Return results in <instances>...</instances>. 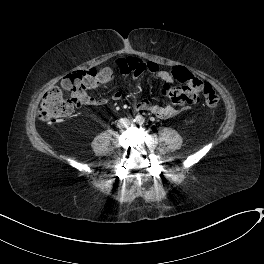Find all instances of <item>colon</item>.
Returning a JSON list of instances; mask_svg holds the SVG:
<instances>
[{"mask_svg":"<svg viewBox=\"0 0 264 264\" xmlns=\"http://www.w3.org/2000/svg\"><path fill=\"white\" fill-rule=\"evenodd\" d=\"M123 66L122 61L113 65H102L85 71H74L64 76L57 86L47 90L38 108V116L45 122H55L68 117L78 110L90 88L88 80L108 76ZM172 76L181 83L179 86H166L163 94L174 104L193 103L197 99L198 88H201L208 106H215L219 101L217 91L209 84L200 85V81L182 67H175Z\"/></svg>","mask_w":264,"mask_h":264,"instance_id":"obj_1","label":"colon"}]
</instances>
